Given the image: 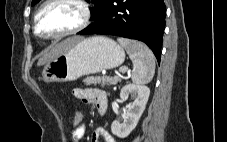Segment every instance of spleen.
Wrapping results in <instances>:
<instances>
[{
	"instance_id": "3e777b00",
	"label": "spleen",
	"mask_w": 227,
	"mask_h": 142,
	"mask_svg": "<svg viewBox=\"0 0 227 142\" xmlns=\"http://www.w3.org/2000/svg\"><path fill=\"white\" fill-rule=\"evenodd\" d=\"M117 41L124 47L132 61L133 70L131 79L133 83L142 85L149 83L155 73V56L143 43L118 38Z\"/></svg>"
}]
</instances>
